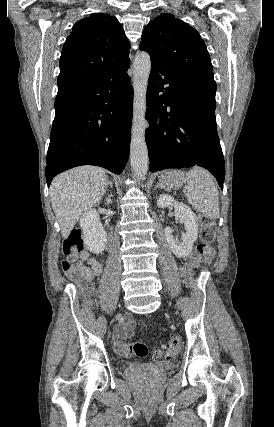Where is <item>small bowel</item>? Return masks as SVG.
Here are the masks:
<instances>
[{"mask_svg":"<svg viewBox=\"0 0 274 427\" xmlns=\"http://www.w3.org/2000/svg\"><path fill=\"white\" fill-rule=\"evenodd\" d=\"M77 263L81 273L89 280L99 277L103 272V261L93 257L89 251H83ZM135 321L132 317H127L123 327L117 332V338H129L132 336Z\"/></svg>","mask_w":274,"mask_h":427,"instance_id":"small-bowel-1","label":"small bowel"}]
</instances>
